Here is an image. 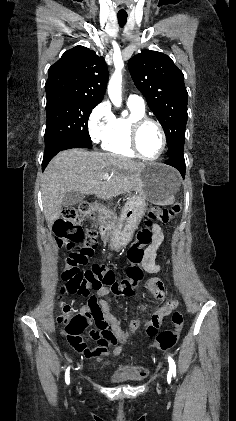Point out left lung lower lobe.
Instances as JSON below:
<instances>
[{
	"label": "left lung lower lobe",
	"instance_id": "1",
	"mask_svg": "<svg viewBox=\"0 0 236 421\" xmlns=\"http://www.w3.org/2000/svg\"><path fill=\"white\" fill-rule=\"evenodd\" d=\"M184 161H185L184 156H174V157L167 158L165 163L178 169L182 177L184 178L185 177Z\"/></svg>",
	"mask_w": 236,
	"mask_h": 421
}]
</instances>
